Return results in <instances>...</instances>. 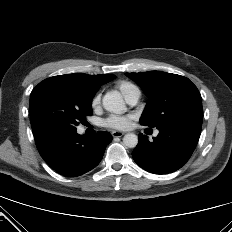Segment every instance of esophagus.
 <instances>
[{
    "label": "esophagus",
    "mask_w": 232,
    "mask_h": 232,
    "mask_svg": "<svg viewBox=\"0 0 232 232\" xmlns=\"http://www.w3.org/2000/svg\"><path fill=\"white\" fill-rule=\"evenodd\" d=\"M111 134L113 137H122L124 135V133L121 131H112Z\"/></svg>",
    "instance_id": "1"
}]
</instances>
